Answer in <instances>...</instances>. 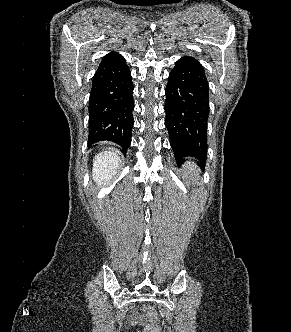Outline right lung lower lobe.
Listing matches in <instances>:
<instances>
[{"label": "right lung lower lobe", "mask_w": 291, "mask_h": 332, "mask_svg": "<svg viewBox=\"0 0 291 332\" xmlns=\"http://www.w3.org/2000/svg\"><path fill=\"white\" fill-rule=\"evenodd\" d=\"M133 109V83L125 59L102 61L89 99V144L112 141L125 152L131 144Z\"/></svg>", "instance_id": "obj_1"}]
</instances>
